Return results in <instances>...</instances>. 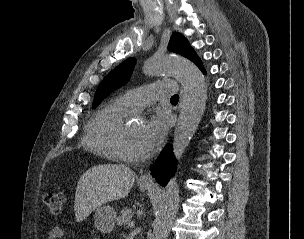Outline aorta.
Masks as SVG:
<instances>
[{"label":"aorta","instance_id":"762f6f07","mask_svg":"<svg viewBox=\"0 0 304 239\" xmlns=\"http://www.w3.org/2000/svg\"><path fill=\"white\" fill-rule=\"evenodd\" d=\"M150 76H175L183 86L182 108L174 131L173 153L180 160L193 137L205 110L207 86L199 68L186 58L175 55H156L145 63ZM179 203V186L174 176L165 187L156 218L152 239H167Z\"/></svg>","mask_w":304,"mask_h":239}]
</instances>
